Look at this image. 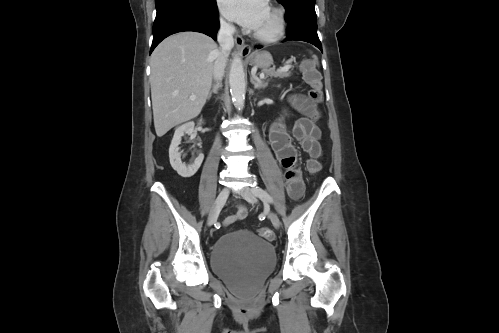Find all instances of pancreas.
Segmentation results:
<instances>
[{"label":"pancreas","instance_id":"obj_1","mask_svg":"<svg viewBox=\"0 0 499 333\" xmlns=\"http://www.w3.org/2000/svg\"><path fill=\"white\" fill-rule=\"evenodd\" d=\"M265 74L267 76H270V77H279V78H285V77H289L291 75V71H289L288 69H284V68H280V69H268V70H265Z\"/></svg>","mask_w":499,"mask_h":333}]
</instances>
